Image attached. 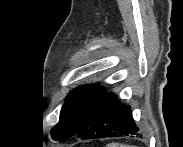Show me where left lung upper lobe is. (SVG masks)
<instances>
[{
  "label": "left lung upper lobe",
  "mask_w": 183,
  "mask_h": 147,
  "mask_svg": "<svg viewBox=\"0 0 183 147\" xmlns=\"http://www.w3.org/2000/svg\"><path fill=\"white\" fill-rule=\"evenodd\" d=\"M105 92L92 85L71 91L60 113L59 123L52 128V139L65 141L79 130L80 126Z\"/></svg>",
  "instance_id": "left-lung-upper-lobe-1"
}]
</instances>
